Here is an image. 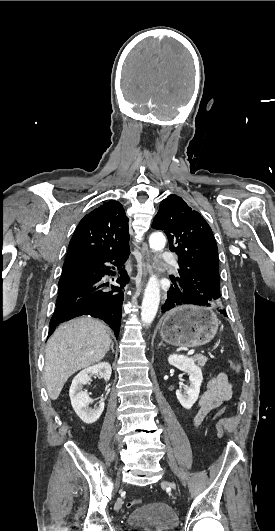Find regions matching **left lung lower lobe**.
Returning a JSON list of instances; mask_svg holds the SVG:
<instances>
[{
  "label": "left lung lower lobe",
  "instance_id": "1",
  "mask_svg": "<svg viewBox=\"0 0 275 531\" xmlns=\"http://www.w3.org/2000/svg\"><path fill=\"white\" fill-rule=\"evenodd\" d=\"M182 304H189V303L182 302L178 298L174 297L169 290L167 299L165 303L162 305L161 310L162 312H167L170 309L174 308L175 306L182 305ZM220 312L223 313L225 316L227 315L224 310H221Z\"/></svg>",
  "mask_w": 275,
  "mask_h": 531
}]
</instances>
